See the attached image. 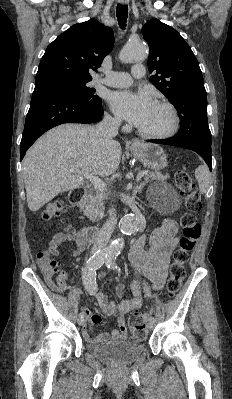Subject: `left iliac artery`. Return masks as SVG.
Masks as SVG:
<instances>
[{"mask_svg":"<svg viewBox=\"0 0 232 399\" xmlns=\"http://www.w3.org/2000/svg\"><path fill=\"white\" fill-rule=\"evenodd\" d=\"M118 257V254L117 253H108L107 255H106V258H105V264H106V266L109 268V269H117V266H116V264H115V260H116V258ZM120 270V269H119ZM151 320H154V317H151L150 318Z\"/></svg>","mask_w":232,"mask_h":399,"instance_id":"left-iliac-artery-1","label":"left iliac artery"}]
</instances>
